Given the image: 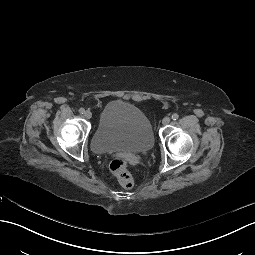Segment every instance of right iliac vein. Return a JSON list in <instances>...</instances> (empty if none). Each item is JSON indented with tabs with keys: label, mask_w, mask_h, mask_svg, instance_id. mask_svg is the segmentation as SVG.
Returning <instances> with one entry per match:
<instances>
[{
	"label": "right iliac vein",
	"mask_w": 255,
	"mask_h": 255,
	"mask_svg": "<svg viewBox=\"0 0 255 255\" xmlns=\"http://www.w3.org/2000/svg\"><path fill=\"white\" fill-rule=\"evenodd\" d=\"M84 116H85L87 119H90V118L92 117L91 111H90V110L85 111Z\"/></svg>",
	"instance_id": "63e3f726"
}]
</instances>
